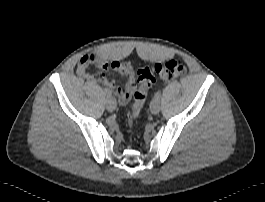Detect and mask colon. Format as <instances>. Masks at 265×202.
<instances>
[{
	"mask_svg": "<svg viewBox=\"0 0 265 202\" xmlns=\"http://www.w3.org/2000/svg\"><path fill=\"white\" fill-rule=\"evenodd\" d=\"M186 74V67L181 60L171 59L155 64L152 68L145 67L137 72L139 88L133 94V103L129 111V122L134 126L145 101L147 91L156 83L157 76L164 81H174Z\"/></svg>",
	"mask_w": 265,
	"mask_h": 202,
	"instance_id": "1",
	"label": "colon"
}]
</instances>
